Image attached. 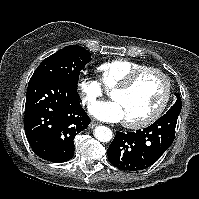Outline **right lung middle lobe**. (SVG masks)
Segmentation results:
<instances>
[{"instance_id":"right-lung-middle-lobe-1","label":"right lung middle lobe","mask_w":199,"mask_h":199,"mask_svg":"<svg viewBox=\"0 0 199 199\" xmlns=\"http://www.w3.org/2000/svg\"><path fill=\"white\" fill-rule=\"evenodd\" d=\"M91 61V54L81 46L70 45L44 59L31 79L53 76L77 89L82 68Z\"/></svg>"}]
</instances>
